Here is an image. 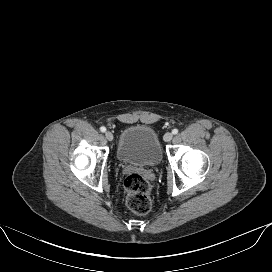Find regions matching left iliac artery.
Returning a JSON list of instances; mask_svg holds the SVG:
<instances>
[{
    "label": "left iliac artery",
    "mask_w": 272,
    "mask_h": 272,
    "mask_svg": "<svg viewBox=\"0 0 272 272\" xmlns=\"http://www.w3.org/2000/svg\"><path fill=\"white\" fill-rule=\"evenodd\" d=\"M172 133L175 135V134H177L178 133V129H173L172 130Z\"/></svg>",
    "instance_id": "44dca946"
}]
</instances>
